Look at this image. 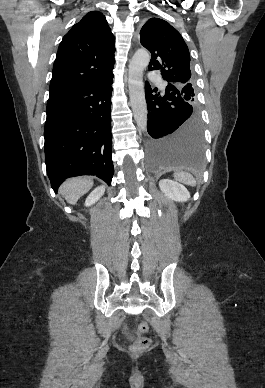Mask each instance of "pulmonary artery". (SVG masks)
Returning a JSON list of instances; mask_svg holds the SVG:
<instances>
[{"label":"pulmonary artery","mask_w":265,"mask_h":388,"mask_svg":"<svg viewBox=\"0 0 265 388\" xmlns=\"http://www.w3.org/2000/svg\"><path fill=\"white\" fill-rule=\"evenodd\" d=\"M149 78L152 79L153 82H163V75H158L157 72H150Z\"/></svg>","instance_id":"pulmonary-artery-1"}]
</instances>
